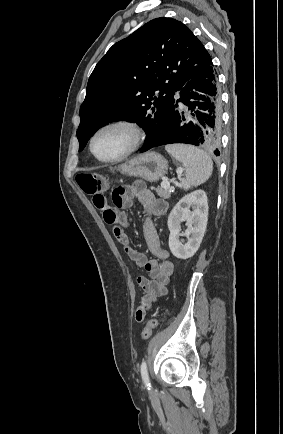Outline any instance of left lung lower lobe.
<instances>
[{
  "label": "left lung lower lobe",
  "instance_id": "obj_1",
  "mask_svg": "<svg viewBox=\"0 0 283 434\" xmlns=\"http://www.w3.org/2000/svg\"><path fill=\"white\" fill-rule=\"evenodd\" d=\"M178 102L186 106L183 109ZM173 113L157 139L143 148L173 143H185L220 152L221 96L213 65L198 73L179 92Z\"/></svg>",
  "mask_w": 283,
  "mask_h": 434
}]
</instances>
